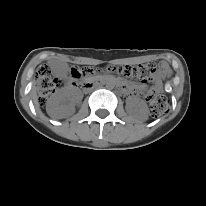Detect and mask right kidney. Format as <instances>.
Segmentation results:
<instances>
[{
	"label": "right kidney",
	"mask_w": 206,
	"mask_h": 206,
	"mask_svg": "<svg viewBox=\"0 0 206 206\" xmlns=\"http://www.w3.org/2000/svg\"><path fill=\"white\" fill-rule=\"evenodd\" d=\"M80 99L79 92L62 90L50 98L46 111L51 117L65 118L74 113V103Z\"/></svg>",
	"instance_id": "right-kidney-1"
}]
</instances>
